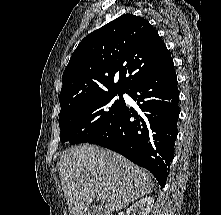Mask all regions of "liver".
I'll use <instances>...</instances> for the list:
<instances>
[{
  "label": "liver",
  "mask_w": 221,
  "mask_h": 215,
  "mask_svg": "<svg viewBox=\"0 0 221 215\" xmlns=\"http://www.w3.org/2000/svg\"><path fill=\"white\" fill-rule=\"evenodd\" d=\"M62 189L70 215H85L97 195L114 212L152 192L151 174L124 156L84 144L62 153L59 162Z\"/></svg>",
  "instance_id": "obj_1"
}]
</instances>
